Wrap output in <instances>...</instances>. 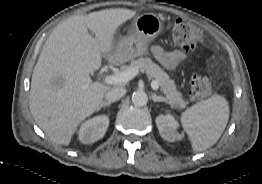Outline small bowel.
<instances>
[{
	"instance_id": "small-bowel-1",
	"label": "small bowel",
	"mask_w": 262,
	"mask_h": 184,
	"mask_svg": "<svg viewBox=\"0 0 262 184\" xmlns=\"http://www.w3.org/2000/svg\"><path fill=\"white\" fill-rule=\"evenodd\" d=\"M151 52L157 61L168 70L176 69L187 61V54L182 50L166 52L159 46H152Z\"/></svg>"
}]
</instances>
